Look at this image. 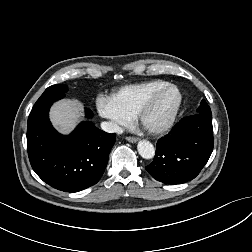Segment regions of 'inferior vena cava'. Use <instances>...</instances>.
<instances>
[{
  "instance_id": "obj_1",
  "label": "inferior vena cava",
  "mask_w": 252,
  "mask_h": 252,
  "mask_svg": "<svg viewBox=\"0 0 252 252\" xmlns=\"http://www.w3.org/2000/svg\"><path fill=\"white\" fill-rule=\"evenodd\" d=\"M101 128L103 131L108 133L121 134L123 132L122 128L119 127L117 124L107 121L101 123Z\"/></svg>"
}]
</instances>
